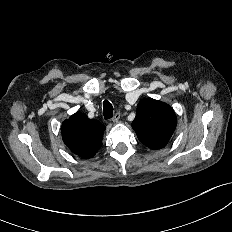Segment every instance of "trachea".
<instances>
[{"instance_id": "obj_1", "label": "trachea", "mask_w": 232, "mask_h": 232, "mask_svg": "<svg viewBox=\"0 0 232 232\" xmlns=\"http://www.w3.org/2000/svg\"><path fill=\"white\" fill-rule=\"evenodd\" d=\"M103 110H104L103 114L105 120H108L113 117V106L109 101L105 100L103 102Z\"/></svg>"}]
</instances>
